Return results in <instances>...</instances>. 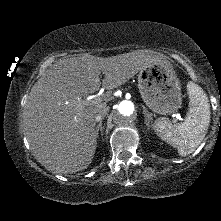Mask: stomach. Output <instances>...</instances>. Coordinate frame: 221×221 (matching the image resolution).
<instances>
[{"instance_id": "0dacf381", "label": "stomach", "mask_w": 221, "mask_h": 221, "mask_svg": "<svg viewBox=\"0 0 221 221\" xmlns=\"http://www.w3.org/2000/svg\"><path fill=\"white\" fill-rule=\"evenodd\" d=\"M138 88L145 104L158 114H172L181 106V85L172 67L154 64L142 69Z\"/></svg>"}]
</instances>
